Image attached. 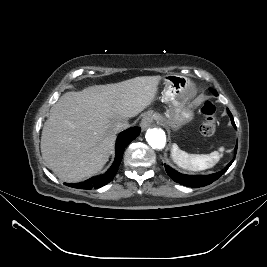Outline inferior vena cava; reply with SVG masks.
I'll use <instances>...</instances> for the list:
<instances>
[{
    "label": "inferior vena cava",
    "instance_id": "1",
    "mask_svg": "<svg viewBox=\"0 0 267 267\" xmlns=\"http://www.w3.org/2000/svg\"><path fill=\"white\" fill-rule=\"evenodd\" d=\"M129 127L130 125L128 120H120L114 124V129L116 132L127 129Z\"/></svg>",
    "mask_w": 267,
    "mask_h": 267
}]
</instances>
